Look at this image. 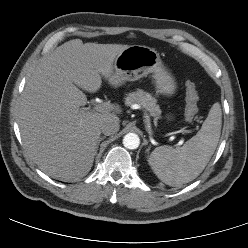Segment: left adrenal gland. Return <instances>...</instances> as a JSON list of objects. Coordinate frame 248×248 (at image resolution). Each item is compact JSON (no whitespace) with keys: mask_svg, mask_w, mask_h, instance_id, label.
Returning a JSON list of instances; mask_svg holds the SVG:
<instances>
[{"mask_svg":"<svg viewBox=\"0 0 248 248\" xmlns=\"http://www.w3.org/2000/svg\"><path fill=\"white\" fill-rule=\"evenodd\" d=\"M150 150V147L147 149V151H149Z\"/></svg>","mask_w":248,"mask_h":248,"instance_id":"1","label":"left adrenal gland"}]
</instances>
